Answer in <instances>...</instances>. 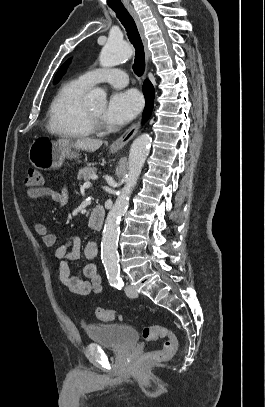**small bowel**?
Wrapping results in <instances>:
<instances>
[{
  "instance_id": "obj_1",
  "label": "small bowel",
  "mask_w": 265,
  "mask_h": 407,
  "mask_svg": "<svg viewBox=\"0 0 265 407\" xmlns=\"http://www.w3.org/2000/svg\"><path fill=\"white\" fill-rule=\"evenodd\" d=\"M25 196L28 199H38L50 197L54 201L65 204L67 202V192L65 189L55 191L52 188L41 186L36 188H27ZM34 231L41 237L46 246H53L57 242V235L48 231L47 227L40 223H33ZM81 254V241L77 236L67 238L55 252V258L58 262L59 279L66 288L75 294L87 296L91 292L102 294V276L95 264L87 263L83 268L85 279L73 275L69 263L77 260ZM84 255L87 260L92 261L97 255V246L95 242H89L84 248Z\"/></svg>"
}]
</instances>
